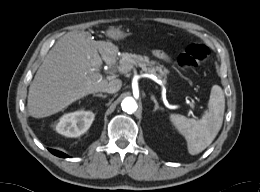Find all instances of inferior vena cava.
<instances>
[{
  "label": "inferior vena cava",
  "instance_id": "obj_1",
  "mask_svg": "<svg viewBox=\"0 0 260 192\" xmlns=\"http://www.w3.org/2000/svg\"><path fill=\"white\" fill-rule=\"evenodd\" d=\"M121 86L122 81L120 79H113L108 82V84L102 89V91L107 93H116L120 90Z\"/></svg>",
  "mask_w": 260,
  "mask_h": 192
}]
</instances>
